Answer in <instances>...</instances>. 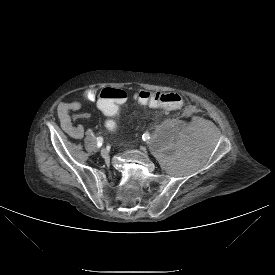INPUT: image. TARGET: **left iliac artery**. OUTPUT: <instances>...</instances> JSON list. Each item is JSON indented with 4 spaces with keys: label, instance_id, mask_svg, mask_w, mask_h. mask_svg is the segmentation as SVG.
<instances>
[{
    "label": "left iliac artery",
    "instance_id": "44dca946",
    "mask_svg": "<svg viewBox=\"0 0 275 275\" xmlns=\"http://www.w3.org/2000/svg\"><path fill=\"white\" fill-rule=\"evenodd\" d=\"M142 137H143V140H148L150 138V135H149V133L146 132L143 134Z\"/></svg>",
    "mask_w": 275,
    "mask_h": 275
}]
</instances>
